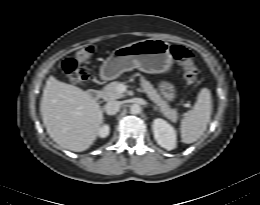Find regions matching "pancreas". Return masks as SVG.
I'll return each instance as SVG.
<instances>
[{
  "label": "pancreas",
  "mask_w": 260,
  "mask_h": 205,
  "mask_svg": "<svg viewBox=\"0 0 260 205\" xmlns=\"http://www.w3.org/2000/svg\"><path fill=\"white\" fill-rule=\"evenodd\" d=\"M120 84L123 83L114 81L106 85L101 91L102 98L106 101L122 98L124 95L118 91V86ZM140 85L143 88V91L147 94L148 98L158 106L163 115L170 121L176 122L178 119L176 109H172L170 105L157 93V90L153 87V85L143 76L140 77Z\"/></svg>",
  "instance_id": "1"
}]
</instances>
